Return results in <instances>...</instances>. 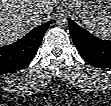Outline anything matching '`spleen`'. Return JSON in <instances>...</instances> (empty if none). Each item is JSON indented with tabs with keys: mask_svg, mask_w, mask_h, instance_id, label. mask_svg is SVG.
<instances>
[{
	"mask_svg": "<svg viewBox=\"0 0 111 106\" xmlns=\"http://www.w3.org/2000/svg\"><path fill=\"white\" fill-rule=\"evenodd\" d=\"M86 27L95 36L111 40V15H107L102 19L94 18L89 23H86Z\"/></svg>",
	"mask_w": 111,
	"mask_h": 106,
	"instance_id": "obj_1",
	"label": "spleen"
}]
</instances>
